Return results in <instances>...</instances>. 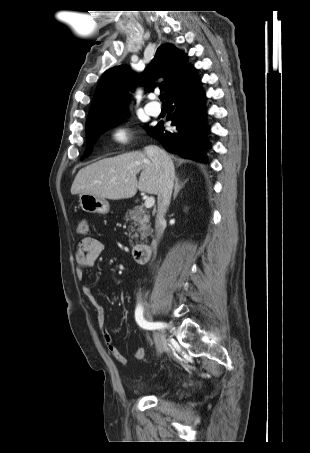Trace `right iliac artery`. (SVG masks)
Returning a JSON list of instances; mask_svg holds the SVG:
<instances>
[{"label": "right iliac artery", "instance_id": "1", "mask_svg": "<svg viewBox=\"0 0 310 453\" xmlns=\"http://www.w3.org/2000/svg\"><path fill=\"white\" fill-rule=\"evenodd\" d=\"M135 320L140 327L147 330H155L165 327L161 322L146 321L143 317V307L141 304H138L135 309Z\"/></svg>", "mask_w": 310, "mask_h": 453}]
</instances>
